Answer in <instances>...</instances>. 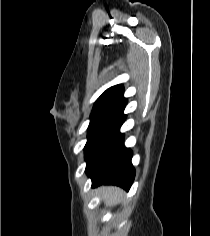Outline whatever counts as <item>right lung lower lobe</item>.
Masks as SVG:
<instances>
[{"label": "right lung lower lobe", "mask_w": 210, "mask_h": 236, "mask_svg": "<svg viewBox=\"0 0 210 236\" xmlns=\"http://www.w3.org/2000/svg\"><path fill=\"white\" fill-rule=\"evenodd\" d=\"M125 105L88 137L85 146L86 173L92 179L93 187L113 184L129 190L133 183L132 151L124 146L123 135L119 132L126 118L123 114Z\"/></svg>", "instance_id": "obj_1"}]
</instances>
